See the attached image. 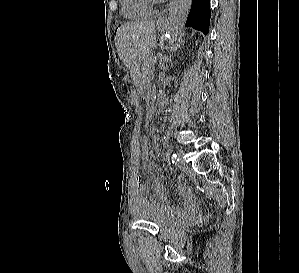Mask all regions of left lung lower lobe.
Returning a JSON list of instances; mask_svg holds the SVG:
<instances>
[{"mask_svg": "<svg viewBox=\"0 0 299 273\" xmlns=\"http://www.w3.org/2000/svg\"><path fill=\"white\" fill-rule=\"evenodd\" d=\"M210 17V0H193L185 26L208 34Z\"/></svg>", "mask_w": 299, "mask_h": 273, "instance_id": "obj_1", "label": "left lung lower lobe"}]
</instances>
